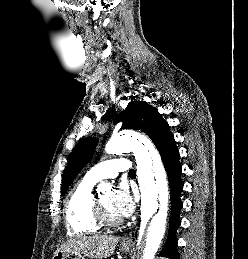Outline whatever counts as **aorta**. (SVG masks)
Returning a JSON list of instances; mask_svg holds the SVG:
<instances>
[{"label": "aorta", "instance_id": "1", "mask_svg": "<svg viewBox=\"0 0 248 259\" xmlns=\"http://www.w3.org/2000/svg\"><path fill=\"white\" fill-rule=\"evenodd\" d=\"M105 150L108 154L132 151L135 156L141 192L140 237L145 236L142 259H154L165 234L169 201L168 182L160 155L148 138L137 134L112 136ZM107 186L102 183L99 188Z\"/></svg>", "mask_w": 248, "mask_h": 259}]
</instances>
